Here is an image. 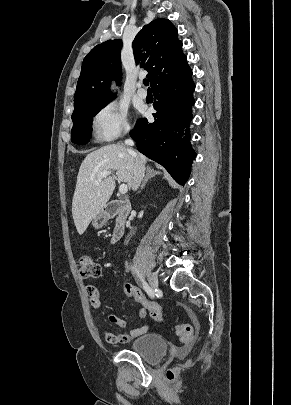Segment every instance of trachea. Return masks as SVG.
Masks as SVG:
<instances>
[{"label":"trachea","instance_id":"obj_1","mask_svg":"<svg viewBox=\"0 0 291 405\" xmlns=\"http://www.w3.org/2000/svg\"><path fill=\"white\" fill-rule=\"evenodd\" d=\"M143 83H144L145 86H148V85H149V81H148L147 79H144V80H143Z\"/></svg>","mask_w":291,"mask_h":405}]
</instances>
